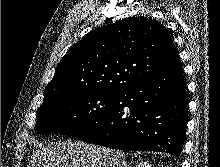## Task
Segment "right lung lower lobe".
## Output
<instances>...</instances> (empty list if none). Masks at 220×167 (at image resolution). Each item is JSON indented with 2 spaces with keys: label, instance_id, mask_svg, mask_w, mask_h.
Listing matches in <instances>:
<instances>
[{
  "label": "right lung lower lobe",
  "instance_id": "right-lung-lower-lobe-1",
  "mask_svg": "<svg viewBox=\"0 0 220 167\" xmlns=\"http://www.w3.org/2000/svg\"><path fill=\"white\" fill-rule=\"evenodd\" d=\"M187 104L186 81L179 67L118 92L105 116L77 138L114 149L178 157L185 138Z\"/></svg>",
  "mask_w": 220,
  "mask_h": 167
}]
</instances>
